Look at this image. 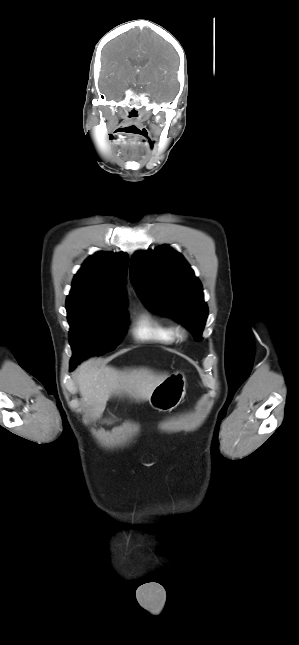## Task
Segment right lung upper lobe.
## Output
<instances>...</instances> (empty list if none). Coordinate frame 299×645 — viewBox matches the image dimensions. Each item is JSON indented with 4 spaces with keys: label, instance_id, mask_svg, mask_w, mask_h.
<instances>
[{
    "label": "right lung upper lobe",
    "instance_id": "cb5924a9",
    "mask_svg": "<svg viewBox=\"0 0 299 645\" xmlns=\"http://www.w3.org/2000/svg\"><path fill=\"white\" fill-rule=\"evenodd\" d=\"M128 255L98 252L90 256L74 276L66 306L124 307Z\"/></svg>",
    "mask_w": 299,
    "mask_h": 645
}]
</instances>
